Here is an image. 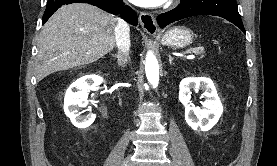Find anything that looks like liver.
Wrapping results in <instances>:
<instances>
[{
    "instance_id": "1",
    "label": "liver",
    "mask_w": 277,
    "mask_h": 166,
    "mask_svg": "<svg viewBox=\"0 0 277 166\" xmlns=\"http://www.w3.org/2000/svg\"><path fill=\"white\" fill-rule=\"evenodd\" d=\"M117 18L101 9L73 3L58 9L43 26L38 42V81L51 73L88 65L115 45Z\"/></svg>"
}]
</instances>
